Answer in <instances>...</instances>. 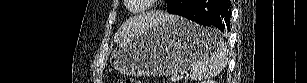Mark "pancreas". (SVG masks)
<instances>
[{
	"instance_id": "obj_1",
	"label": "pancreas",
	"mask_w": 307,
	"mask_h": 83,
	"mask_svg": "<svg viewBox=\"0 0 307 83\" xmlns=\"http://www.w3.org/2000/svg\"><path fill=\"white\" fill-rule=\"evenodd\" d=\"M172 82H173V83H176V81H175V80H173Z\"/></svg>"
}]
</instances>
